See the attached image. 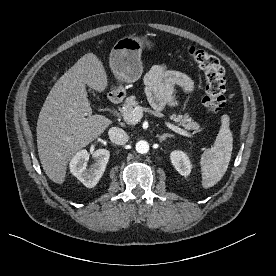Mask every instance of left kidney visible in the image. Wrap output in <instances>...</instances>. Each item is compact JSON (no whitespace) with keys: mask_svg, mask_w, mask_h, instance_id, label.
<instances>
[{"mask_svg":"<svg viewBox=\"0 0 276 276\" xmlns=\"http://www.w3.org/2000/svg\"><path fill=\"white\" fill-rule=\"evenodd\" d=\"M172 165L182 175L188 176L191 172L192 165L186 152L181 150H174L170 154Z\"/></svg>","mask_w":276,"mask_h":276,"instance_id":"1","label":"left kidney"}]
</instances>
